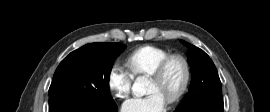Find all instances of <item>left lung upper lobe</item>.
<instances>
[{
    "instance_id": "left-lung-upper-lobe-1",
    "label": "left lung upper lobe",
    "mask_w": 270,
    "mask_h": 112,
    "mask_svg": "<svg viewBox=\"0 0 270 112\" xmlns=\"http://www.w3.org/2000/svg\"><path fill=\"white\" fill-rule=\"evenodd\" d=\"M183 43L189 47L187 55L193 77L189 92L176 110L186 109L198 103H223L222 86L214 63L200 48L185 41Z\"/></svg>"
}]
</instances>
